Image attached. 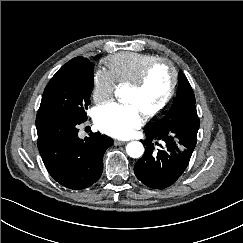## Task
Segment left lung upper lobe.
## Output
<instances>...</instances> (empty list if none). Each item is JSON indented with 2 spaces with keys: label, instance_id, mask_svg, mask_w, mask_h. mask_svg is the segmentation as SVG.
I'll return each instance as SVG.
<instances>
[{
  "label": "left lung upper lobe",
  "instance_id": "5c2ea615",
  "mask_svg": "<svg viewBox=\"0 0 243 243\" xmlns=\"http://www.w3.org/2000/svg\"><path fill=\"white\" fill-rule=\"evenodd\" d=\"M182 123L193 126L195 132H198L200 121L195 107V96L186 76L180 72L179 88L173 106L163 118L148 126L146 130H166Z\"/></svg>",
  "mask_w": 243,
  "mask_h": 243
}]
</instances>
